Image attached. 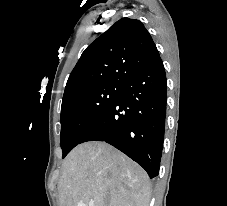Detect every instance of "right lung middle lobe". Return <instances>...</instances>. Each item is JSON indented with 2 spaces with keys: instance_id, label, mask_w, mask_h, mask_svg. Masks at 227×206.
I'll return each instance as SVG.
<instances>
[{
  "instance_id": "dd1d6c3e",
  "label": "right lung middle lobe",
  "mask_w": 227,
  "mask_h": 206,
  "mask_svg": "<svg viewBox=\"0 0 227 206\" xmlns=\"http://www.w3.org/2000/svg\"><path fill=\"white\" fill-rule=\"evenodd\" d=\"M122 92V83L109 82L80 90L62 101L61 148L63 158L116 101Z\"/></svg>"
}]
</instances>
